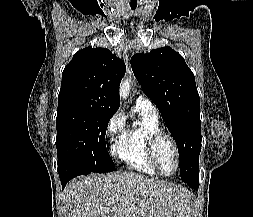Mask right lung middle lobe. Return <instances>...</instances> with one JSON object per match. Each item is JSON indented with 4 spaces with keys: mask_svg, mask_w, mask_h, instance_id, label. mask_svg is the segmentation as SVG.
<instances>
[{
    "mask_svg": "<svg viewBox=\"0 0 253 217\" xmlns=\"http://www.w3.org/2000/svg\"><path fill=\"white\" fill-rule=\"evenodd\" d=\"M114 113L80 106L58 108L56 148L58 166L72 165L89 172L115 169L108 154L105 134ZM75 169V168H73Z\"/></svg>",
    "mask_w": 253,
    "mask_h": 217,
    "instance_id": "obj_1",
    "label": "right lung middle lobe"
}]
</instances>
